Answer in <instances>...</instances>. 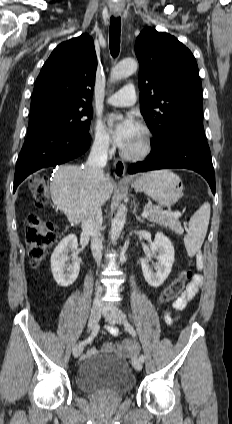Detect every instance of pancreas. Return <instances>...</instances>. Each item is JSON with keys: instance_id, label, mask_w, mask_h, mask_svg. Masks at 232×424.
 Masks as SVG:
<instances>
[{"instance_id": "obj_1", "label": "pancreas", "mask_w": 232, "mask_h": 424, "mask_svg": "<svg viewBox=\"0 0 232 424\" xmlns=\"http://www.w3.org/2000/svg\"><path fill=\"white\" fill-rule=\"evenodd\" d=\"M144 210L149 212L147 219L150 222L163 225L172 231H178L181 227L179 216L173 215L172 212L167 214L159 207L153 205H146Z\"/></svg>"}]
</instances>
